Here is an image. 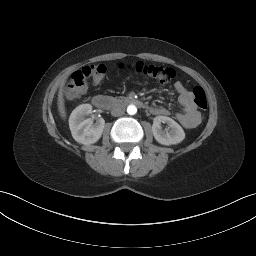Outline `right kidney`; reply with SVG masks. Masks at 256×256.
Instances as JSON below:
<instances>
[{
    "instance_id": "obj_1",
    "label": "right kidney",
    "mask_w": 256,
    "mask_h": 256,
    "mask_svg": "<svg viewBox=\"0 0 256 256\" xmlns=\"http://www.w3.org/2000/svg\"><path fill=\"white\" fill-rule=\"evenodd\" d=\"M92 113L90 104H82L76 107L69 118V127L72 137L80 144L90 145L96 143L105 126L103 118L98 119L95 123L91 119H85L86 115Z\"/></svg>"
}]
</instances>
